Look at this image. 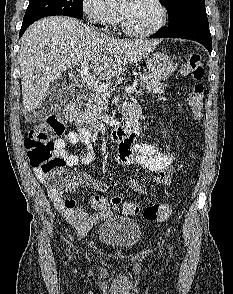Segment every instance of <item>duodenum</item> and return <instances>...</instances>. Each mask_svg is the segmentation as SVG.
Instances as JSON below:
<instances>
[{
    "label": "duodenum",
    "mask_w": 233,
    "mask_h": 294,
    "mask_svg": "<svg viewBox=\"0 0 233 294\" xmlns=\"http://www.w3.org/2000/svg\"><path fill=\"white\" fill-rule=\"evenodd\" d=\"M64 118L75 124L77 127L82 126L83 121L79 112L78 102L76 99L71 100L63 111ZM139 134L138 113L134 106L127 105L124 108V118L111 133L110 138L115 143L134 142Z\"/></svg>",
    "instance_id": "obj_1"
}]
</instances>
